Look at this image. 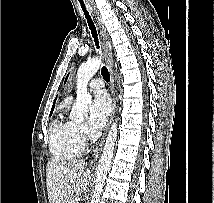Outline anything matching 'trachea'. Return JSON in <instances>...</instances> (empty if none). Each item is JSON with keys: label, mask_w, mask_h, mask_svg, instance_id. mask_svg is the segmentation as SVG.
<instances>
[{"label": "trachea", "mask_w": 214, "mask_h": 203, "mask_svg": "<svg viewBox=\"0 0 214 203\" xmlns=\"http://www.w3.org/2000/svg\"><path fill=\"white\" fill-rule=\"evenodd\" d=\"M81 7H82L84 15H85V17L87 19V22H88V25H89V29L91 30L92 37L94 38L95 45H96L97 49H99L98 34H97V31H96V27L94 25V22L92 21V18L89 15V12L86 10L85 5L81 4ZM101 74H102V76H103V78L105 79L106 82L110 81V74H109V72H108V70H107V68L105 66L102 67Z\"/></svg>", "instance_id": "1"}]
</instances>
